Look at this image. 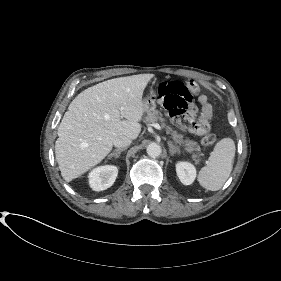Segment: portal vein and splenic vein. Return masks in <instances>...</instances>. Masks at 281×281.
Here are the masks:
<instances>
[{
	"mask_svg": "<svg viewBox=\"0 0 281 281\" xmlns=\"http://www.w3.org/2000/svg\"><path fill=\"white\" fill-rule=\"evenodd\" d=\"M153 127L158 130H162V127L158 123H153Z\"/></svg>",
	"mask_w": 281,
	"mask_h": 281,
	"instance_id": "obj_1",
	"label": "portal vein and splenic vein"
}]
</instances>
